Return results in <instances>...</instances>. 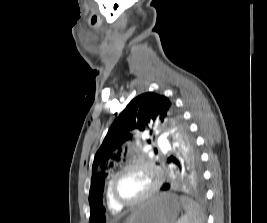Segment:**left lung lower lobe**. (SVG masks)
<instances>
[{
	"label": "left lung lower lobe",
	"mask_w": 267,
	"mask_h": 223,
	"mask_svg": "<svg viewBox=\"0 0 267 223\" xmlns=\"http://www.w3.org/2000/svg\"><path fill=\"white\" fill-rule=\"evenodd\" d=\"M177 176L184 177H172L171 173H166L163 177V182H167L161 188L164 192L174 191V182H184L185 184H177V189H201L200 181L202 180L203 171H177Z\"/></svg>",
	"instance_id": "1"
}]
</instances>
